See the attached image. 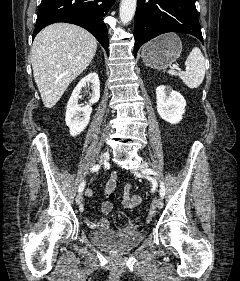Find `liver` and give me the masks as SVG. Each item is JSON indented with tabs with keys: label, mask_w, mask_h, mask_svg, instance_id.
<instances>
[{
	"label": "liver",
	"mask_w": 240,
	"mask_h": 281,
	"mask_svg": "<svg viewBox=\"0 0 240 281\" xmlns=\"http://www.w3.org/2000/svg\"><path fill=\"white\" fill-rule=\"evenodd\" d=\"M96 49L97 40L77 25L54 23L37 34L31 64L46 108L56 105L69 84L89 66Z\"/></svg>",
	"instance_id": "6515ba94"
}]
</instances>
